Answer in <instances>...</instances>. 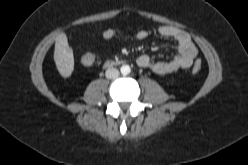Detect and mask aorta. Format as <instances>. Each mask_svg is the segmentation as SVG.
Listing matches in <instances>:
<instances>
[{
	"label": "aorta",
	"mask_w": 248,
	"mask_h": 165,
	"mask_svg": "<svg viewBox=\"0 0 248 165\" xmlns=\"http://www.w3.org/2000/svg\"><path fill=\"white\" fill-rule=\"evenodd\" d=\"M120 71L123 75H128L131 71L130 66L129 65H122L120 68Z\"/></svg>",
	"instance_id": "obj_1"
}]
</instances>
